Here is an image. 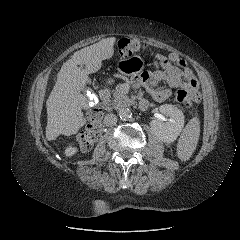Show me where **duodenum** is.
I'll use <instances>...</instances> for the list:
<instances>
[{
	"mask_svg": "<svg viewBox=\"0 0 240 240\" xmlns=\"http://www.w3.org/2000/svg\"><path fill=\"white\" fill-rule=\"evenodd\" d=\"M99 96L102 99L103 103H104V107L106 110H110V104H109V91L107 89H102L99 92ZM140 105L143 108H146L148 106V103L144 100L140 101Z\"/></svg>",
	"mask_w": 240,
	"mask_h": 240,
	"instance_id": "1",
	"label": "duodenum"
}]
</instances>
